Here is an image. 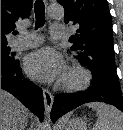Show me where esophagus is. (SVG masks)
I'll return each instance as SVG.
<instances>
[{
	"instance_id": "esophagus-1",
	"label": "esophagus",
	"mask_w": 123,
	"mask_h": 130,
	"mask_svg": "<svg viewBox=\"0 0 123 130\" xmlns=\"http://www.w3.org/2000/svg\"><path fill=\"white\" fill-rule=\"evenodd\" d=\"M44 1L47 3V0ZM43 98H44L46 113L49 114L53 105L54 97L48 89L43 88Z\"/></svg>"
}]
</instances>
